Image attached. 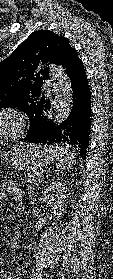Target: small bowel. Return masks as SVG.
Listing matches in <instances>:
<instances>
[{
    "mask_svg": "<svg viewBox=\"0 0 113 279\" xmlns=\"http://www.w3.org/2000/svg\"><path fill=\"white\" fill-rule=\"evenodd\" d=\"M5 192L12 194L16 200H18L20 198V189L18 188V186L11 181H7L3 184V188L0 189V208H1V200L4 197ZM16 239L18 241H16ZM19 242H20V238L15 237L14 238L15 246H17L19 244ZM3 279H16V274L14 272L7 273L3 277Z\"/></svg>",
    "mask_w": 113,
    "mask_h": 279,
    "instance_id": "obj_1",
    "label": "small bowel"
}]
</instances>
